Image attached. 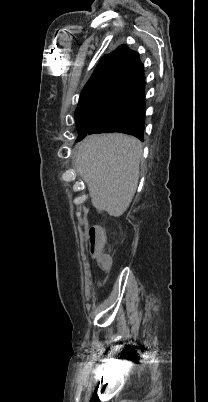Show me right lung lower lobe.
Instances as JSON below:
<instances>
[{
	"mask_svg": "<svg viewBox=\"0 0 208 402\" xmlns=\"http://www.w3.org/2000/svg\"><path fill=\"white\" fill-rule=\"evenodd\" d=\"M109 87H113L122 94L120 98L122 99V109L118 116L116 118H90L77 123L78 129L87 130V134L122 132L143 141L145 81L143 65L138 54Z\"/></svg>",
	"mask_w": 208,
	"mask_h": 402,
	"instance_id": "right-lung-lower-lobe-1",
	"label": "right lung lower lobe"
}]
</instances>
